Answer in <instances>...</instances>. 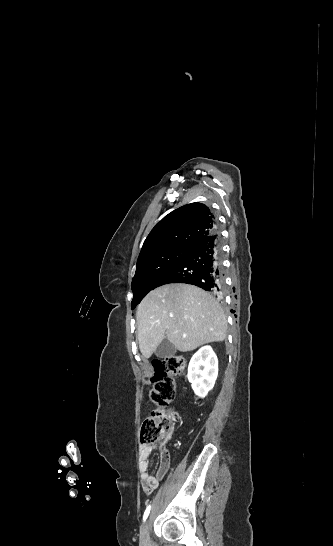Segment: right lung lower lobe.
<instances>
[{
  "mask_svg": "<svg viewBox=\"0 0 333 546\" xmlns=\"http://www.w3.org/2000/svg\"><path fill=\"white\" fill-rule=\"evenodd\" d=\"M221 263V236L216 229L198 241L191 251L159 280L156 287L169 283H186L220 294L224 283Z\"/></svg>",
  "mask_w": 333,
  "mask_h": 546,
  "instance_id": "98d812e1",
  "label": "right lung lower lobe"
}]
</instances>
